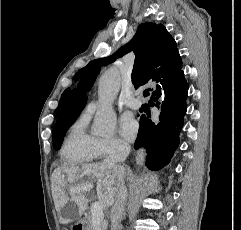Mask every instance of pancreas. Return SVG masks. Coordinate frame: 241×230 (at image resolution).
Segmentation results:
<instances>
[{"label": "pancreas", "instance_id": "cf45deb5", "mask_svg": "<svg viewBox=\"0 0 241 230\" xmlns=\"http://www.w3.org/2000/svg\"><path fill=\"white\" fill-rule=\"evenodd\" d=\"M86 221L90 225L91 230H101V225L100 226H96V225L93 224L91 215H88L86 217Z\"/></svg>", "mask_w": 241, "mask_h": 230}]
</instances>
